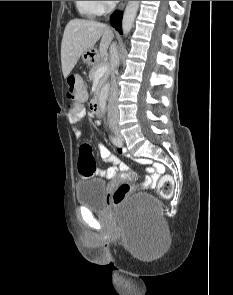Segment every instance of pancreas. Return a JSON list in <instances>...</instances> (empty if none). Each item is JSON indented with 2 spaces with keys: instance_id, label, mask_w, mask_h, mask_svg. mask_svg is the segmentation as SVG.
Here are the masks:
<instances>
[{
  "instance_id": "1",
  "label": "pancreas",
  "mask_w": 233,
  "mask_h": 295,
  "mask_svg": "<svg viewBox=\"0 0 233 295\" xmlns=\"http://www.w3.org/2000/svg\"><path fill=\"white\" fill-rule=\"evenodd\" d=\"M102 65H106V63L102 60H98L91 68L90 72H89V78L90 80H94L95 76H96V71L97 69L102 66ZM109 77V72H106L103 77L100 79L98 85H97V90L96 92L98 93L100 91V89L102 88V86L104 85V83L106 82V80Z\"/></svg>"
}]
</instances>
